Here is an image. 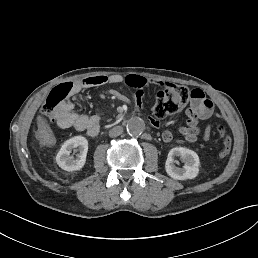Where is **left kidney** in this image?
<instances>
[{
	"label": "left kidney",
	"mask_w": 258,
	"mask_h": 258,
	"mask_svg": "<svg viewBox=\"0 0 258 258\" xmlns=\"http://www.w3.org/2000/svg\"><path fill=\"white\" fill-rule=\"evenodd\" d=\"M175 158H179L184 166L177 167L174 164ZM199 168V158L197 154L184 147L172 148L167 157L166 171L174 179L185 180L197 175Z\"/></svg>",
	"instance_id": "1"
}]
</instances>
